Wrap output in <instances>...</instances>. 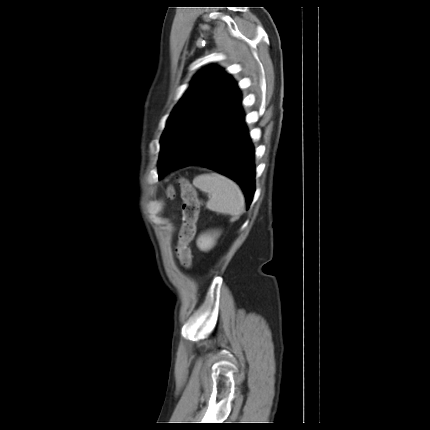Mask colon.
Returning a JSON list of instances; mask_svg holds the SVG:
<instances>
[{
    "instance_id": "5ec220e1",
    "label": "colon",
    "mask_w": 430,
    "mask_h": 430,
    "mask_svg": "<svg viewBox=\"0 0 430 430\" xmlns=\"http://www.w3.org/2000/svg\"><path fill=\"white\" fill-rule=\"evenodd\" d=\"M182 199V226L179 233L177 255L182 266L190 270L192 268L191 242L196 232V223L200 212V203L194 186L185 178L179 177ZM168 196L173 197L175 192L172 186L167 190Z\"/></svg>"
}]
</instances>
